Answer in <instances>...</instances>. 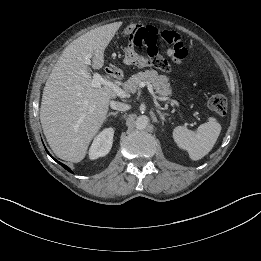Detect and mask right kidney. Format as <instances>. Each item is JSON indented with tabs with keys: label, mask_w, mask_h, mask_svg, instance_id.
Wrapping results in <instances>:
<instances>
[{
	"label": "right kidney",
	"mask_w": 261,
	"mask_h": 261,
	"mask_svg": "<svg viewBox=\"0 0 261 261\" xmlns=\"http://www.w3.org/2000/svg\"><path fill=\"white\" fill-rule=\"evenodd\" d=\"M114 129L106 128L101 131L94 139L90 150L89 158L91 160L103 157L109 153L113 143Z\"/></svg>",
	"instance_id": "ca27d5eb"
}]
</instances>
